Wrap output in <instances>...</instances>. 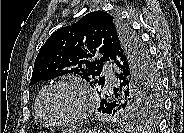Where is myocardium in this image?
<instances>
[{
  "label": "myocardium",
  "instance_id": "myocardium-1",
  "mask_svg": "<svg viewBox=\"0 0 184 133\" xmlns=\"http://www.w3.org/2000/svg\"><path fill=\"white\" fill-rule=\"evenodd\" d=\"M58 87L72 88L75 91H77V93L80 96L81 107L79 111L70 118L54 119L51 117V115L49 114L47 110L46 103H47L48 96L54 89ZM40 108H41V111L46 121L52 125L69 126V125L77 124L81 122L82 120H84L91 111L90 99H89V93H88L87 87L83 83L79 81H74V80H62V81L55 82L51 84L50 86H48L46 90L44 91L41 101H40Z\"/></svg>",
  "mask_w": 184,
  "mask_h": 133
}]
</instances>
